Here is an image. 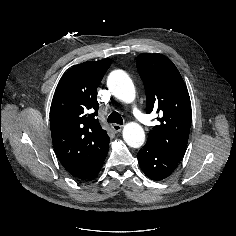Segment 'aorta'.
I'll use <instances>...</instances> for the list:
<instances>
[{
	"label": "aorta",
	"mask_w": 236,
	"mask_h": 236,
	"mask_svg": "<svg viewBox=\"0 0 236 236\" xmlns=\"http://www.w3.org/2000/svg\"><path fill=\"white\" fill-rule=\"evenodd\" d=\"M107 85L121 101L125 103L134 101L135 87L131 78L124 71H112L108 76ZM123 139L128 146L139 148L144 144L145 132L138 123L130 122L123 128Z\"/></svg>",
	"instance_id": "1"
}]
</instances>
